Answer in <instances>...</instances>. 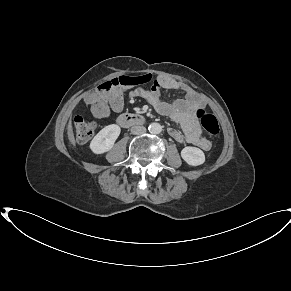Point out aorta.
Here are the masks:
<instances>
[{"instance_id":"obj_1","label":"aorta","mask_w":291,"mask_h":291,"mask_svg":"<svg viewBox=\"0 0 291 291\" xmlns=\"http://www.w3.org/2000/svg\"><path fill=\"white\" fill-rule=\"evenodd\" d=\"M148 129L152 134H159L162 131V126L159 123H151Z\"/></svg>"}]
</instances>
